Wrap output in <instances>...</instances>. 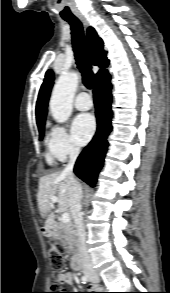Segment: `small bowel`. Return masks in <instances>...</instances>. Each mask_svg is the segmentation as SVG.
<instances>
[{
  "mask_svg": "<svg viewBox=\"0 0 170 293\" xmlns=\"http://www.w3.org/2000/svg\"><path fill=\"white\" fill-rule=\"evenodd\" d=\"M67 283L70 284V285L76 284V277L73 274H69L67 276ZM90 293H100V292H98L97 290H95V291H92Z\"/></svg>",
  "mask_w": 170,
  "mask_h": 293,
  "instance_id": "obj_1",
  "label": "small bowel"
}]
</instances>
